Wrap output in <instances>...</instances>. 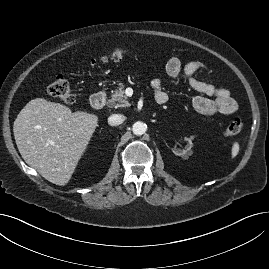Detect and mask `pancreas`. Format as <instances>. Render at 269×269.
I'll list each match as a JSON object with an SVG mask.
<instances>
[{"label": "pancreas", "mask_w": 269, "mask_h": 269, "mask_svg": "<svg viewBox=\"0 0 269 269\" xmlns=\"http://www.w3.org/2000/svg\"><path fill=\"white\" fill-rule=\"evenodd\" d=\"M107 104L113 108L128 107L130 103L125 96L124 84H120L117 89L112 93L111 99L108 100Z\"/></svg>", "instance_id": "obj_1"}]
</instances>
